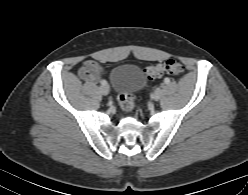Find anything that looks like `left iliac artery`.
I'll return each mask as SVG.
<instances>
[{"label":"left iliac artery","mask_w":248,"mask_h":195,"mask_svg":"<svg viewBox=\"0 0 248 195\" xmlns=\"http://www.w3.org/2000/svg\"><path fill=\"white\" fill-rule=\"evenodd\" d=\"M164 82L166 83V84H168L169 82H170V79L169 78H166L165 80H164ZM157 89H159V88H157ZM156 89V90H157Z\"/></svg>","instance_id":"1"}]
</instances>
